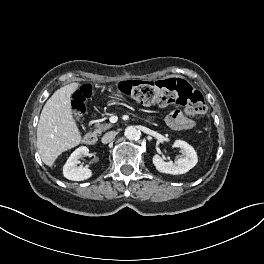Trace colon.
<instances>
[{
    "mask_svg": "<svg viewBox=\"0 0 264 264\" xmlns=\"http://www.w3.org/2000/svg\"><path fill=\"white\" fill-rule=\"evenodd\" d=\"M116 89L143 105L179 104L184 106L186 113L192 117L206 112V104L201 92L195 90L183 79L171 78L156 82L126 80L119 82ZM91 95L92 90L86 86L76 91L72 106L77 119H81L85 115V103Z\"/></svg>",
    "mask_w": 264,
    "mask_h": 264,
    "instance_id": "colon-1",
    "label": "colon"
}]
</instances>
